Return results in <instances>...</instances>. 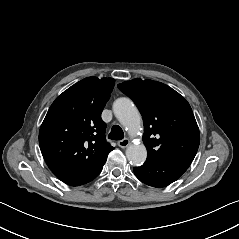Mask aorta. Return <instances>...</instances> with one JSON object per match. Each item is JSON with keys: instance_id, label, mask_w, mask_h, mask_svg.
Instances as JSON below:
<instances>
[{"instance_id": "aorta-1", "label": "aorta", "mask_w": 239, "mask_h": 239, "mask_svg": "<svg viewBox=\"0 0 239 239\" xmlns=\"http://www.w3.org/2000/svg\"><path fill=\"white\" fill-rule=\"evenodd\" d=\"M112 109L115 117L128 129L130 135L139 130L141 116L131 99L126 97L116 99ZM126 157L132 165H140L147 158L146 147L143 144H131L126 150Z\"/></svg>"}]
</instances>
